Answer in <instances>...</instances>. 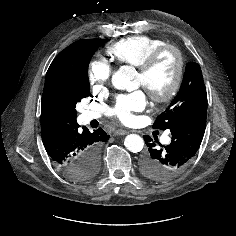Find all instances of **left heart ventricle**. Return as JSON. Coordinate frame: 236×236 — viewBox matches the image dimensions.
I'll return each mask as SVG.
<instances>
[{"label": "left heart ventricle", "instance_id": "1", "mask_svg": "<svg viewBox=\"0 0 236 236\" xmlns=\"http://www.w3.org/2000/svg\"><path fill=\"white\" fill-rule=\"evenodd\" d=\"M175 71L176 57L173 53L167 52L160 58L148 77L144 78L137 74V83L140 86L147 85L156 92H164L170 87Z\"/></svg>", "mask_w": 236, "mask_h": 236}]
</instances>
